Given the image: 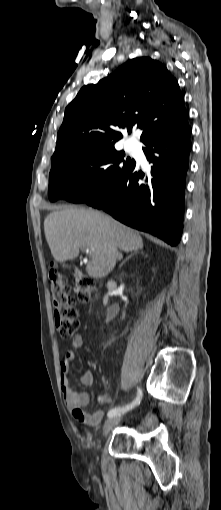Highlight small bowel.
<instances>
[{
    "label": "small bowel",
    "instance_id": "small-bowel-1",
    "mask_svg": "<svg viewBox=\"0 0 221 510\" xmlns=\"http://www.w3.org/2000/svg\"><path fill=\"white\" fill-rule=\"evenodd\" d=\"M83 343V337L79 334L75 335L71 339V349L65 353L64 358L60 362V384L65 405L71 412L72 416L79 422L88 426H96L102 421L104 411L98 410L94 413L86 412L85 407L90 402V393L86 391L77 392L70 384L68 377L71 364L76 358L75 350L82 348ZM93 380L94 377L92 372L87 370L82 374L80 383L84 387H89L93 384ZM102 397L104 398L103 403H109L111 401V398L108 395H102Z\"/></svg>",
    "mask_w": 221,
    "mask_h": 510
}]
</instances>
